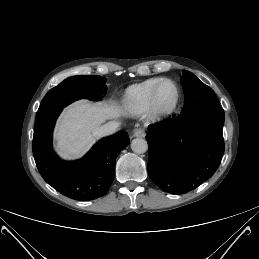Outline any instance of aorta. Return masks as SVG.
I'll return each instance as SVG.
<instances>
[{
  "instance_id": "1",
  "label": "aorta",
  "mask_w": 259,
  "mask_h": 259,
  "mask_svg": "<svg viewBox=\"0 0 259 259\" xmlns=\"http://www.w3.org/2000/svg\"><path fill=\"white\" fill-rule=\"evenodd\" d=\"M131 149L134 153L143 154L148 149V143L143 138L133 139L131 142Z\"/></svg>"
}]
</instances>
